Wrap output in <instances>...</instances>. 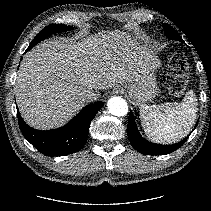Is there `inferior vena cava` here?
Here are the masks:
<instances>
[{
	"instance_id": "1",
	"label": "inferior vena cava",
	"mask_w": 211,
	"mask_h": 211,
	"mask_svg": "<svg viewBox=\"0 0 211 211\" xmlns=\"http://www.w3.org/2000/svg\"><path fill=\"white\" fill-rule=\"evenodd\" d=\"M83 95V99L86 102H95L99 98V94H97L94 90H87L86 92H84Z\"/></svg>"
}]
</instances>
